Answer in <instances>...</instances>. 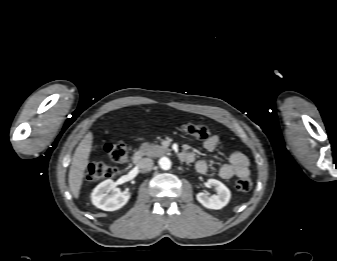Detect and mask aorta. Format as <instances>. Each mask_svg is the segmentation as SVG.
<instances>
[{
    "label": "aorta",
    "mask_w": 337,
    "mask_h": 261,
    "mask_svg": "<svg viewBox=\"0 0 337 261\" xmlns=\"http://www.w3.org/2000/svg\"><path fill=\"white\" fill-rule=\"evenodd\" d=\"M159 166L163 170H168L171 168V161L168 157H162L159 159Z\"/></svg>",
    "instance_id": "762f6f07"
}]
</instances>
